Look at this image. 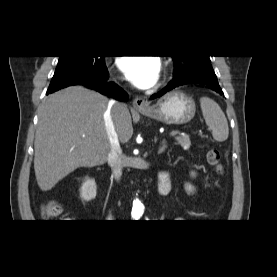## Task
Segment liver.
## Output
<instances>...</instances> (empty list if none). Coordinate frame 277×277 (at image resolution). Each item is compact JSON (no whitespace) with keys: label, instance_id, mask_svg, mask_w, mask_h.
Returning <instances> with one entry per match:
<instances>
[{"label":"liver","instance_id":"6515ba94","mask_svg":"<svg viewBox=\"0 0 277 277\" xmlns=\"http://www.w3.org/2000/svg\"><path fill=\"white\" fill-rule=\"evenodd\" d=\"M108 99L82 86L49 95L38 110L34 141V170L39 188L51 190L79 167L106 162L110 145L104 125ZM115 131L122 143L132 137L129 110L113 111Z\"/></svg>","mask_w":277,"mask_h":277}]
</instances>
